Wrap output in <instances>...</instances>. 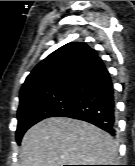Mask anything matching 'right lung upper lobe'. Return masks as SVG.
<instances>
[{"mask_svg": "<svg viewBox=\"0 0 135 166\" xmlns=\"http://www.w3.org/2000/svg\"><path fill=\"white\" fill-rule=\"evenodd\" d=\"M102 65L96 51L86 43H68L47 56L28 75L20 90V105L70 86Z\"/></svg>", "mask_w": 135, "mask_h": 166, "instance_id": "right-lung-upper-lobe-1", "label": "right lung upper lobe"}]
</instances>
